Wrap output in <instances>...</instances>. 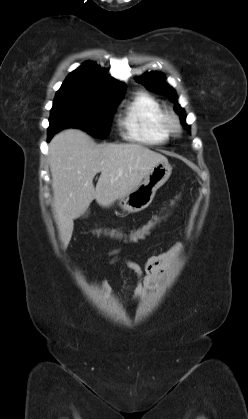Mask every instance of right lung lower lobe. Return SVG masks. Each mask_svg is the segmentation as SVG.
<instances>
[{
	"label": "right lung lower lobe",
	"mask_w": 248,
	"mask_h": 419,
	"mask_svg": "<svg viewBox=\"0 0 248 419\" xmlns=\"http://www.w3.org/2000/svg\"><path fill=\"white\" fill-rule=\"evenodd\" d=\"M52 138V135L48 134V140H50Z\"/></svg>",
	"instance_id": "98d812e1"
}]
</instances>
